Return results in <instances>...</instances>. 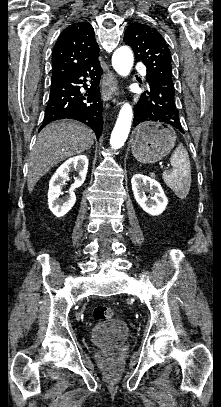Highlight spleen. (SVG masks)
<instances>
[{
  "mask_svg": "<svg viewBox=\"0 0 221 407\" xmlns=\"http://www.w3.org/2000/svg\"><path fill=\"white\" fill-rule=\"evenodd\" d=\"M170 163L173 170L163 172V180L178 198L184 199L190 191L191 166L188 152L182 143L172 153Z\"/></svg>",
  "mask_w": 221,
  "mask_h": 407,
  "instance_id": "3e777b00",
  "label": "spleen"
}]
</instances>
